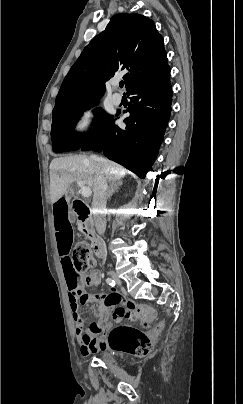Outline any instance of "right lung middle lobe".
<instances>
[{"mask_svg":"<svg viewBox=\"0 0 243 404\" xmlns=\"http://www.w3.org/2000/svg\"><path fill=\"white\" fill-rule=\"evenodd\" d=\"M94 100L78 107L65 110L53 115L52 121V148L55 153L75 151L80 149L89 141L93 140L113 120V116L106 114L101 108H96L97 115L91 131L87 134H78L74 131V125L82 113L88 109Z\"/></svg>","mask_w":243,"mask_h":404,"instance_id":"right-lung-middle-lobe-1","label":"right lung middle lobe"}]
</instances>
